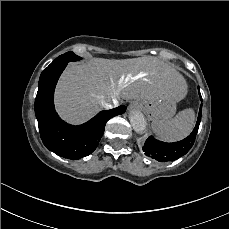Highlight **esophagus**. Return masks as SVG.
Here are the masks:
<instances>
[{"label": "esophagus", "instance_id": "34e87169", "mask_svg": "<svg viewBox=\"0 0 229 229\" xmlns=\"http://www.w3.org/2000/svg\"><path fill=\"white\" fill-rule=\"evenodd\" d=\"M129 109L130 110L133 109V105L132 104L129 105Z\"/></svg>", "mask_w": 229, "mask_h": 229}]
</instances>
